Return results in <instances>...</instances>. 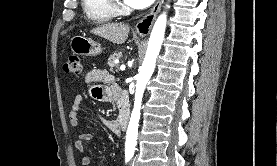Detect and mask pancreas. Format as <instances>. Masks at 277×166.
I'll list each match as a JSON object with an SVG mask.
<instances>
[{
	"label": "pancreas",
	"mask_w": 277,
	"mask_h": 166,
	"mask_svg": "<svg viewBox=\"0 0 277 166\" xmlns=\"http://www.w3.org/2000/svg\"><path fill=\"white\" fill-rule=\"evenodd\" d=\"M122 57V52L121 51H115L112 55H110L108 59V66L110 67V71H118V64L115 63L116 58H121Z\"/></svg>",
	"instance_id": "obj_1"
}]
</instances>
